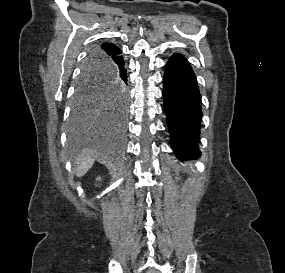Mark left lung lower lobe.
Returning <instances> with one entry per match:
<instances>
[{
  "label": "left lung lower lobe",
  "instance_id": "left-lung-lower-lobe-1",
  "mask_svg": "<svg viewBox=\"0 0 285 273\" xmlns=\"http://www.w3.org/2000/svg\"><path fill=\"white\" fill-rule=\"evenodd\" d=\"M164 109L172 148L180 159L198 158L197 146L202 120L197 79L188 61L173 55L163 77Z\"/></svg>",
  "mask_w": 285,
  "mask_h": 273
}]
</instances>
